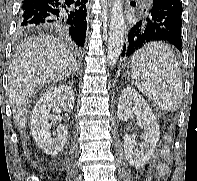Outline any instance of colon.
Listing matches in <instances>:
<instances>
[{
  "instance_id": "1",
  "label": "colon",
  "mask_w": 197,
  "mask_h": 181,
  "mask_svg": "<svg viewBox=\"0 0 197 181\" xmlns=\"http://www.w3.org/2000/svg\"><path fill=\"white\" fill-rule=\"evenodd\" d=\"M163 156L165 158H168V151L167 149H164L163 150ZM169 174V165L168 163H163L161 166H160V175L161 176H167Z\"/></svg>"
}]
</instances>
